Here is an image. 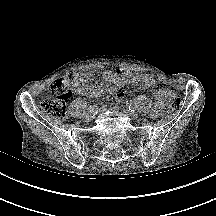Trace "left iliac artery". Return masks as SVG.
I'll use <instances>...</instances> for the list:
<instances>
[{
    "label": "left iliac artery",
    "instance_id": "44dca946",
    "mask_svg": "<svg viewBox=\"0 0 216 216\" xmlns=\"http://www.w3.org/2000/svg\"><path fill=\"white\" fill-rule=\"evenodd\" d=\"M129 110L130 111H135L136 110V106L134 104H130L129 105Z\"/></svg>",
    "mask_w": 216,
    "mask_h": 216
}]
</instances>
